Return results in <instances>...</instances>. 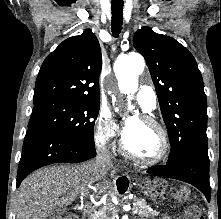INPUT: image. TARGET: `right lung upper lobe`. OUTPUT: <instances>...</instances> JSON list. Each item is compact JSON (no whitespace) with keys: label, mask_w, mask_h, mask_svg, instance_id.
Segmentation results:
<instances>
[{"label":"right lung upper lobe","mask_w":221,"mask_h":219,"mask_svg":"<svg viewBox=\"0 0 221 219\" xmlns=\"http://www.w3.org/2000/svg\"><path fill=\"white\" fill-rule=\"evenodd\" d=\"M102 68L99 42L90 29L63 41L44 60L33 102L51 99L100 102Z\"/></svg>","instance_id":"cb5924a9"}]
</instances>
